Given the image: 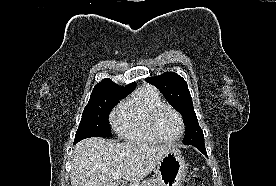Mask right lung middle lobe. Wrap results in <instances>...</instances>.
Masks as SVG:
<instances>
[{
	"mask_svg": "<svg viewBox=\"0 0 276 186\" xmlns=\"http://www.w3.org/2000/svg\"><path fill=\"white\" fill-rule=\"evenodd\" d=\"M125 96L127 95L92 93L83 111L74 143L89 137H111L109 113L114 105Z\"/></svg>",
	"mask_w": 276,
	"mask_h": 186,
	"instance_id": "1",
	"label": "right lung middle lobe"
}]
</instances>
